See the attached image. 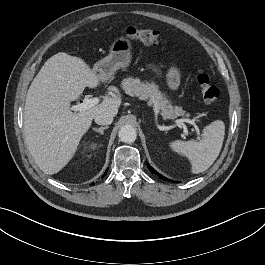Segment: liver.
Here are the masks:
<instances>
[{
    "label": "liver",
    "mask_w": 265,
    "mask_h": 265,
    "mask_svg": "<svg viewBox=\"0 0 265 265\" xmlns=\"http://www.w3.org/2000/svg\"><path fill=\"white\" fill-rule=\"evenodd\" d=\"M100 81L83 59L64 52L49 58L33 79L25 100L24 134L44 173L56 174L68 164L97 113H118L121 98L117 95H105L100 104L72 112L71 102Z\"/></svg>",
    "instance_id": "1"
}]
</instances>
